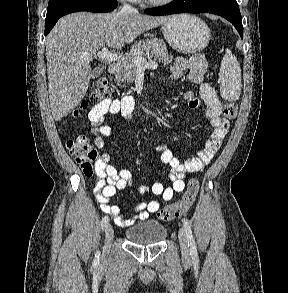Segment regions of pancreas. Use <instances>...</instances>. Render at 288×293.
I'll return each mask as SVG.
<instances>
[{"instance_id":"pancreas-1","label":"pancreas","mask_w":288,"mask_h":293,"mask_svg":"<svg viewBox=\"0 0 288 293\" xmlns=\"http://www.w3.org/2000/svg\"><path fill=\"white\" fill-rule=\"evenodd\" d=\"M137 56L154 58L163 64L172 62V57L169 56L163 40L156 38L140 40L132 46L130 53L119 62V71L115 78L118 85L122 86L124 82L132 83L134 81L138 70L134 58Z\"/></svg>"}]
</instances>
